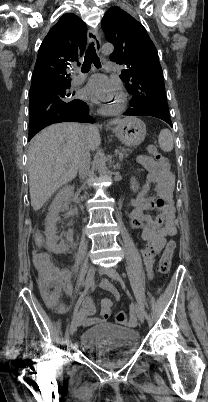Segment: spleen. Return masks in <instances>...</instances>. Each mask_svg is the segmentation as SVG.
Listing matches in <instances>:
<instances>
[{"mask_svg":"<svg viewBox=\"0 0 208 402\" xmlns=\"http://www.w3.org/2000/svg\"><path fill=\"white\" fill-rule=\"evenodd\" d=\"M158 144L163 152H171L174 142L170 130H161L158 136Z\"/></svg>","mask_w":208,"mask_h":402,"instance_id":"spleen-1","label":"spleen"}]
</instances>
